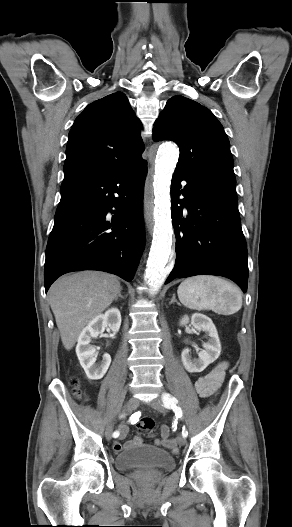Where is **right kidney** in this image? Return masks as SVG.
<instances>
[{"label": "right kidney", "instance_id": "1", "mask_svg": "<svg viewBox=\"0 0 292 527\" xmlns=\"http://www.w3.org/2000/svg\"><path fill=\"white\" fill-rule=\"evenodd\" d=\"M121 326V314L117 308H111L92 319L82 330L78 337L76 354L87 377L91 380L101 379L107 372L111 357L104 354L99 364H96L95 348L90 345L91 339L96 338L105 328H109L113 333H117Z\"/></svg>", "mask_w": 292, "mask_h": 527}]
</instances>
